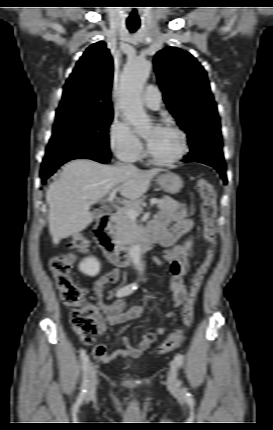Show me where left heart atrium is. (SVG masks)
Wrapping results in <instances>:
<instances>
[{"label":"left heart atrium","instance_id":"1","mask_svg":"<svg viewBox=\"0 0 273 430\" xmlns=\"http://www.w3.org/2000/svg\"><path fill=\"white\" fill-rule=\"evenodd\" d=\"M159 129V127L154 128V132H156ZM152 142V138L148 139V145H150Z\"/></svg>","mask_w":273,"mask_h":430}]
</instances>
